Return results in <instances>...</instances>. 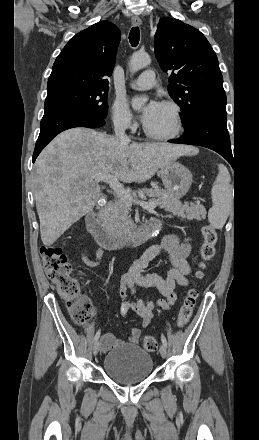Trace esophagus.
Returning <instances> with one entry per match:
<instances>
[{"label": "esophagus", "mask_w": 259, "mask_h": 440, "mask_svg": "<svg viewBox=\"0 0 259 440\" xmlns=\"http://www.w3.org/2000/svg\"><path fill=\"white\" fill-rule=\"evenodd\" d=\"M131 21H132L133 26H140L142 23L140 17H138V16H133Z\"/></svg>", "instance_id": "obj_1"}]
</instances>
